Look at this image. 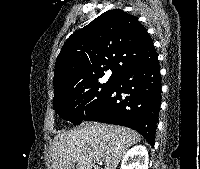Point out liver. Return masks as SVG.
<instances>
[{
  "mask_svg": "<svg viewBox=\"0 0 200 169\" xmlns=\"http://www.w3.org/2000/svg\"><path fill=\"white\" fill-rule=\"evenodd\" d=\"M140 141L139 133L122 126L83 123L54 137L51 169H92L93 161L116 169L126 151Z\"/></svg>",
  "mask_w": 200,
  "mask_h": 169,
  "instance_id": "6515ba94",
  "label": "liver"
}]
</instances>
